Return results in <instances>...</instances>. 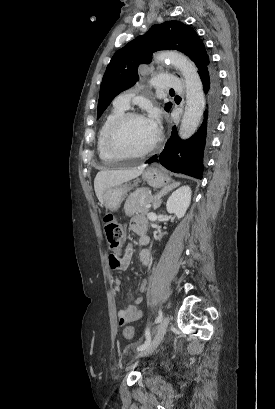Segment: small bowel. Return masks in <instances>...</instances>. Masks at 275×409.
Instances as JSON below:
<instances>
[{
  "label": "small bowel",
  "mask_w": 275,
  "mask_h": 409,
  "mask_svg": "<svg viewBox=\"0 0 275 409\" xmlns=\"http://www.w3.org/2000/svg\"><path fill=\"white\" fill-rule=\"evenodd\" d=\"M137 220H145L144 218L137 217L133 220L132 226L134 228V223ZM137 231V230H135ZM138 232V231H137ZM149 242V238L146 235H142L139 243L144 246ZM133 256V248L131 246H127L125 249V254L121 259H117L116 256H110L108 258L109 269L110 270H126L128 269L131 258ZM139 259L141 264L144 267H147L150 264V253L147 249L143 248L139 253ZM114 284L116 286L117 291L121 290L122 282L120 280H114ZM146 281H141L138 287L140 293H143L146 289ZM141 301V297H137L132 304H129L125 308L121 309L118 313L119 323L120 325H126L127 323L133 322L139 318L141 311L139 308V303Z\"/></svg>",
  "instance_id": "c3829d8e"
}]
</instances>
